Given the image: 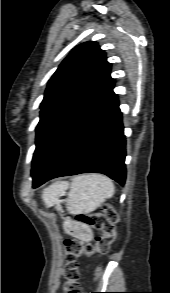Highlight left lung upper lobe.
I'll use <instances>...</instances> for the list:
<instances>
[{
  "label": "left lung upper lobe",
  "instance_id": "left-lung-upper-lobe-1",
  "mask_svg": "<svg viewBox=\"0 0 170 293\" xmlns=\"http://www.w3.org/2000/svg\"><path fill=\"white\" fill-rule=\"evenodd\" d=\"M96 42L71 51L48 82L36 128L32 176L42 174L77 130L107 100L114 79Z\"/></svg>",
  "mask_w": 170,
  "mask_h": 293
}]
</instances>
